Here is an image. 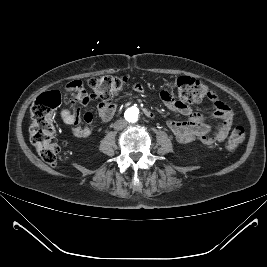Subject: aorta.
<instances>
[{"mask_svg":"<svg viewBox=\"0 0 267 267\" xmlns=\"http://www.w3.org/2000/svg\"><path fill=\"white\" fill-rule=\"evenodd\" d=\"M125 118L131 123H135L139 118V111L135 107L128 108L125 111Z\"/></svg>","mask_w":267,"mask_h":267,"instance_id":"762f6f07","label":"aorta"}]
</instances>
